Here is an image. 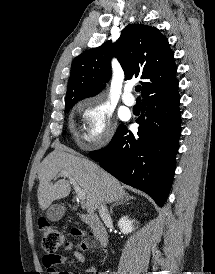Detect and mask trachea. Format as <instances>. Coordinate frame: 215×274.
I'll list each match as a JSON object with an SVG mask.
<instances>
[{
	"mask_svg": "<svg viewBox=\"0 0 215 274\" xmlns=\"http://www.w3.org/2000/svg\"><path fill=\"white\" fill-rule=\"evenodd\" d=\"M135 90H136L137 92H139V91L141 90V86H140V85H137V86L135 87Z\"/></svg>",
	"mask_w": 215,
	"mask_h": 274,
	"instance_id": "1",
	"label": "trachea"
}]
</instances>
